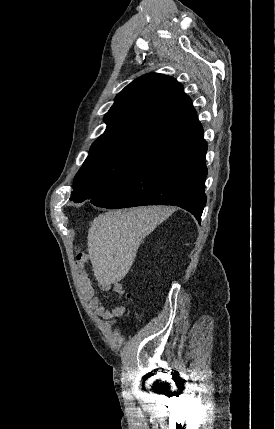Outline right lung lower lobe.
<instances>
[{
    "instance_id": "98d812e1",
    "label": "right lung lower lobe",
    "mask_w": 275,
    "mask_h": 429,
    "mask_svg": "<svg viewBox=\"0 0 275 429\" xmlns=\"http://www.w3.org/2000/svg\"><path fill=\"white\" fill-rule=\"evenodd\" d=\"M207 144L203 130L183 138L146 159L120 184L91 199L105 208L176 205L201 220L206 204Z\"/></svg>"
}]
</instances>
